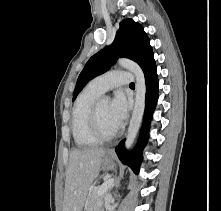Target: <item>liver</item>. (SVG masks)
<instances>
[{
  "mask_svg": "<svg viewBox=\"0 0 221 211\" xmlns=\"http://www.w3.org/2000/svg\"><path fill=\"white\" fill-rule=\"evenodd\" d=\"M106 154L102 148L73 150L66 171L63 211H82L90 185L97 177Z\"/></svg>",
  "mask_w": 221,
  "mask_h": 211,
  "instance_id": "obj_1",
  "label": "liver"
}]
</instances>
